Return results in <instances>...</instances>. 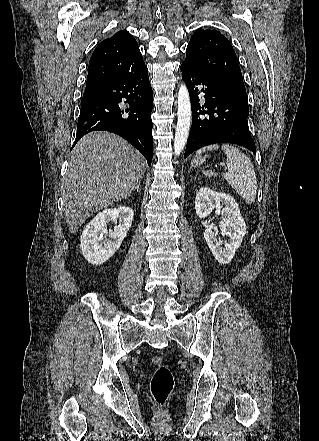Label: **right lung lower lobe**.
Masks as SVG:
<instances>
[{
	"mask_svg": "<svg viewBox=\"0 0 319 441\" xmlns=\"http://www.w3.org/2000/svg\"><path fill=\"white\" fill-rule=\"evenodd\" d=\"M124 99L129 104L127 109L119 106ZM152 108L153 93L145 66L82 97L74 145L91 131L113 132L138 149L150 166L153 157Z\"/></svg>",
	"mask_w": 319,
	"mask_h": 441,
	"instance_id": "obj_1",
	"label": "right lung lower lobe"
}]
</instances>
